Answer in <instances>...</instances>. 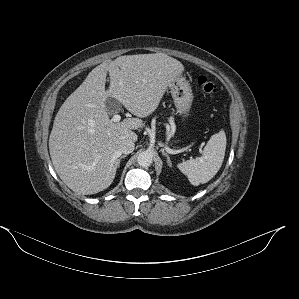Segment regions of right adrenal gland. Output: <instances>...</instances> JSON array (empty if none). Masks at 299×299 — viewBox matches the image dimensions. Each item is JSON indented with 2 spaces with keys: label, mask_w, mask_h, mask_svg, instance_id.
<instances>
[{
  "label": "right adrenal gland",
  "mask_w": 299,
  "mask_h": 299,
  "mask_svg": "<svg viewBox=\"0 0 299 299\" xmlns=\"http://www.w3.org/2000/svg\"><path fill=\"white\" fill-rule=\"evenodd\" d=\"M127 155H122L119 159H118V167H120V161L123 159V158H125Z\"/></svg>",
  "instance_id": "right-adrenal-gland-1"
}]
</instances>
